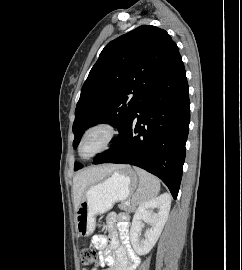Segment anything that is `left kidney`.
Segmentation results:
<instances>
[{
    "label": "left kidney",
    "instance_id": "1",
    "mask_svg": "<svg viewBox=\"0 0 242 270\" xmlns=\"http://www.w3.org/2000/svg\"><path fill=\"white\" fill-rule=\"evenodd\" d=\"M170 207L171 197L168 193L139 205L130 229L131 244L138 255H146L151 251L168 219ZM155 208L157 212H153ZM143 222L150 224L151 227L146 230L144 238L140 239Z\"/></svg>",
    "mask_w": 242,
    "mask_h": 270
}]
</instances>
